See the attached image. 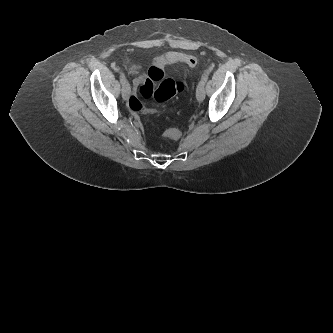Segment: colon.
<instances>
[{"label": "colon", "mask_w": 333, "mask_h": 333, "mask_svg": "<svg viewBox=\"0 0 333 333\" xmlns=\"http://www.w3.org/2000/svg\"><path fill=\"white\" fill-rule=\"evenodd\" d=\"M154 82L149 79L140 87L139 91L142 95H146V98H152L158 103H164L172 99L177 93L182 92L186 84L182 80H175L166 77L162 82H158L159 85L155 89ZM128 106L132 111H142L144 109L143 104L140 103L136 97L132 96L128 102ZM146 113L154 114L157 111L154 109H146ZM165 136L170 139H178L181 136V132L178 129L171 128L165 131Z\"/></svg>", "instance_id": "1"}]
</instances>
